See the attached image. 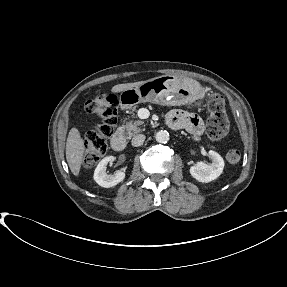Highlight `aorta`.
I'll return each mask as SVG.
<instances>
[{
  "mask_svg": "<svg viewBox=\"0 0 287 287\" xmlns=\"http://www.w3.org/2000/svg\"><path fill=\"white\" fill-rule=\"evenodd\" d=\"M155 139L159 143H167L170 139L169 133L166 130H160L156 133Z\"/></svg>",
  "mask_w": 287,
  "mask_h": 287,
  "instance_id": "1",
  "label": "aorta"
}]
</instances>
